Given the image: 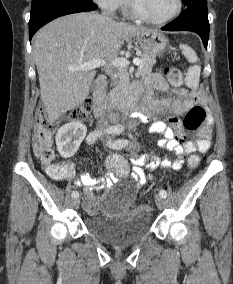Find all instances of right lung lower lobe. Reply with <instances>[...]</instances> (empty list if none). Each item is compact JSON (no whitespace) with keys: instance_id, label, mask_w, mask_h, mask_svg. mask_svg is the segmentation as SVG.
Instances as JSON below:
<instances>
[{"instance_id":"1","label":"right lung lower lobe","mask_w":233,"mask_h":284,"mask_svg":"<svg viewBox=\"0 0 233 284\" xmlns=\"http://www.w3.org/2000/svg\"><path fill=\"white\" fill-rule=\"evenodd\" d=\"M95 9H97V5L94 3H61L46 6L31 12L29 21L30 40L40 27L59 16L77 12L93 11Z\"/></svg>"}]
</instances>
